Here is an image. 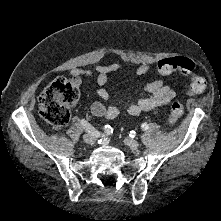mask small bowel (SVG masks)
Returning <instances> with one entry per match:
<instances>
[{
  "instance_id": "c3829d8e",
  "label": "small bowel",
  "mask_w": 221,
  "mask_h": 221,
  "mask_svg": "<svg viewBox=\"0 0 221 221\" xmlns=\"http://www.w3.org/2000/svg\"><path fill=\"white\" fill-rule=\"evenodd\" d=\"M122 66L121 62H113L106 65H96L92 69L74 68L70 71L72 82L77 87L81 85L83 77L95 76L99 86L97 90L98 96L104 100H110V93L104 88L107 82L108 75L117 71ZM151 69L149 64H142L135 70L136 76H142L148 73ZM143 91L146 95L138 97L133 102H128L125 105L129 115L135 116L142 112L152 110L154 108L170 103L174 98L173 89L166 85L161 79H157L147 84ZM91 112L95 116H104L109 119L116 118L119 115V108L116 105H105L101 102H95L91 106Z\"/></svg>"
}]
</instances>
